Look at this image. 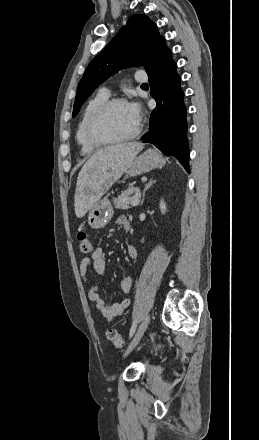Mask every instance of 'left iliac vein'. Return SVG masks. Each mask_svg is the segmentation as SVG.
<instances>
[{"label": "left iliac vein", "mask_w": 259, "mask_h": 440, "mask_svg": "<svg viewBox=\"0 0 259 440\" xmlns=\"http://www.w3.org/2000/svg\"><path fill=\"white\" fill-rule=\"evenodd\" d=\"M149 322H150V314L146 315V317L140 324L135 336L133 337L131 343L129 344L128 348L125 351L124 357L128 356L131 353V351L137 346L145 330L147 329Z\"/></svg>", "instance_id": "4c4485c4"}]
</instances>
